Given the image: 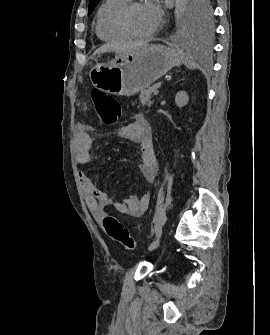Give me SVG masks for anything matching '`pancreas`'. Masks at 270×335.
I'll return each mask as SVG.
<instances>
[{"mask_svg":"<svg viewBox=\"0 0 270 335\" xmlns=\"http://www.w3.org/2000/svg\"><path fill=\"white\" fill-rule=\"evenodd\" d=\"M157 88L158 86H152V88H148V90H142L139 96L140 104H142V106H151V104H153L151 94H153Z\"/></svg>","mask_w":270,"mask_h":335,"instance_id":"cf45deb5","label":"pancreas"}]
</instances>
